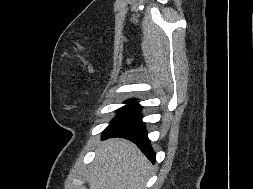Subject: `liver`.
Returning <instances> with one entry per match:
<instances>
[{
	"instance_id": "obj_1",
	"label": "liver",
	"mask_w": 253,
	"mask_h": 189,
	"mask_svg": "<svg viewBox=\"0 0 253 189\" xmlns=\"http://www.w3.org/2000/svg\"><path fill=\"white\" fill-rule=\"evenodd\" d=\"M151 164L137 146L125 139L105 140L87 176L90 189H143Z\"/></svg>"
}]
</instances>
